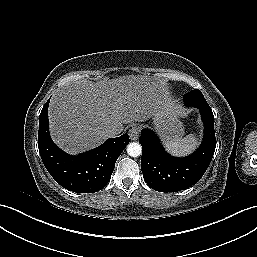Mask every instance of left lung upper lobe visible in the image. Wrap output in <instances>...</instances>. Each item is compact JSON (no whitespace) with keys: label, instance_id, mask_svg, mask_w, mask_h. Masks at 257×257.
Returning a JSON list of instances; mask_svg holds the SVG:
<instances>
[{"label":"left lung upper lobe","instance_id":"1","mask_svg":"<svg viewBox=\"0 0 257 257\" xmlns=\"http://www.w3.org/2000/svg\"><path fill=\"white\" fill-rule=\"evenodd\" d=\"M184 102L189 106H196L198 104H208L200 90L193 91L184 95Z\"/></svg>","mask_w":257,"mask_h":257}]
</instances>
